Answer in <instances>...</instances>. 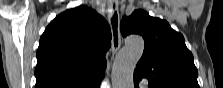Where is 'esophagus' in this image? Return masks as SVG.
<instances>
[{
  "mask_svg": "<svg viewBox=\"0 0 223 88\" xmlns=\"http://www.w3.org/2000/svg\"><path fill=\"white\" fill-rule=\"evenodd\" d=\"M108 8H109L108 21L110 24L111 34H112L111 52L113 55H115L121 46L118 1L117 0H109Z\"/></svg>",
  "mask_w": 223,
  "mask_h": 88,
  "instance_id": "34e87169",
  "label": "esophagus"
}]
</instances>
